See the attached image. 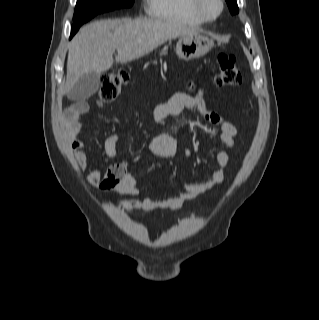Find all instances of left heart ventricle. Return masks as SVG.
I'll return each instance as SVG.
<instances>
[{
  "mask_svg": "<svg viewBox=\"0 0 319 320\" xmlns=\"http://www.w3.org/2000/svg\"><path fill=\"white\" fill-rule=\"evenodd\" d=\"M204 6L210 15L216 14L219 9L217 0H204Z\"/></svg>",
  "mask_w": 319,
  "mask_h": 320,
  "instance_id": "left-heart-ventricle-1",
  "label": "left heart ventricle"
}]
</instances>
